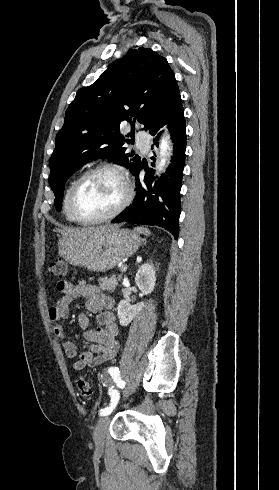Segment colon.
<instances>
[{
    "label": "colon",
    "instance_id": "5ec220e1",
    "mask_svg": "<svg viewBox=\"0 0 279 490\" xmlns=\"http://www.w3.org/2000/svg\"><path fill=\"white\" fill-rule=\"evenodd\" d=\"M49 271L52 275L62 279L65 277L67 272V265L64 260H57L50 263ZM76 386L81 397L84 399H92L94 396V389L92 388L89 381L79 377L76 380Z\"/></svg>",
    "mask_w": 279,
    "mask_h": 490
}]
</instances>
